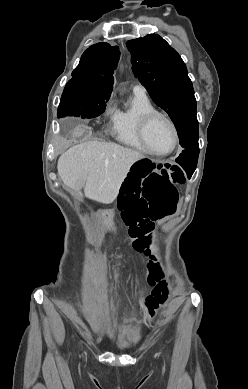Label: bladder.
I'll use <instances>...</instances> for the list:
<instances>
[{"mask_svg":"<svg viewBox=\"0 0 248 389\" xmlns=\"http://www.w3.org/2000/svg\"><path fill=\"white\" fill-rule=\"evenodd\" d=\"M101 340H104V338L102 337ZM110 344L117 351H125L129 349V346L127 344L118 340L110 341Z\"/></svg>","mask_w":248,"mask_h":389,"instance_id":"bladder-1","label":"bladder"}]
</instances>
